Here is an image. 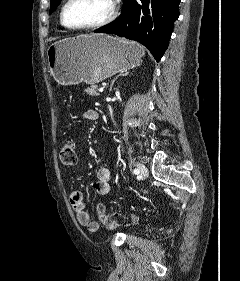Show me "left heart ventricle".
<instances>
[{"mask_svg":"<svg viewBox=\"0 0 240 281\" xmlns=\"http://www.w3.org/2000/svg\"><path fill=\"white\" fill-rule=\"evenodd\" d=\"M110 9V0H71L64 17L68 25L81 26L102 20Z\"/></svg>","mask_w":240,"mask_h":281,"instance_id":"b2bd125f","label":"left heart ventricle"}]
</instances>
